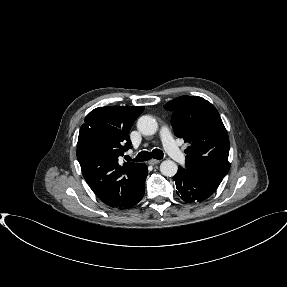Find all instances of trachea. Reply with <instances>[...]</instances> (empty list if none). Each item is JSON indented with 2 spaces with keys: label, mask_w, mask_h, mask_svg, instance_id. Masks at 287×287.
Listing matches in <instances>:
<instances>
[{
  "label": "trachea",
  "mask_w": 287,
  "mask_h": 287,
  "mask_svg": "<svg viewBox=\"0 0 287 287\" xmlns=\"http://www.w3.org/2000/svg\"><path fill=\"white\" fill-rule=\"evenodd\" d=\"M151 158L162 159L163 152L160 149H154L151 153L148 151H142L137 155V157L135 158V161H138V162L147 161V160H150Z\"/></svg>",
  "instance_id": "3493384b"
}]
</instances>
